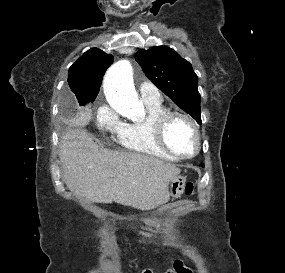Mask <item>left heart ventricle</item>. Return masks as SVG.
<instances>
[{
	"mask_svg": "<svg viewBox=\"0 0 285 273\" xmlns=\"http://www.w3.org/2000/svg\"><path fill=\"white\" fill-rule=\"evenodd\" d=\"M169 146L182 154H191L196 147L194 132L189 123L181 117L173 118L165 132Z\"/></svg>",
	"mask_w": 285,
	"mask_h": 273,
	"instance_id": "obj_1",
	"label": "left heart ventricle"
}]
</instances>
